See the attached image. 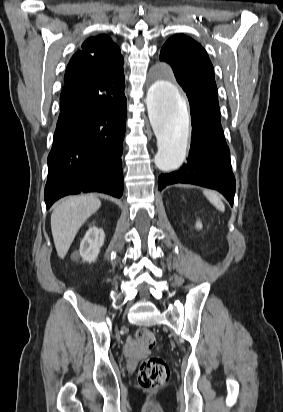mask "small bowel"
I'll list each match as a JSON object with an SVG mask.
<instances>
[{"mask_svg":"<svg viewBox=\"0 0 283 412\" xmlns=\"http://www.w3.org/2000/svg\"><path fill=\"white\" fill-rule=\"evenodd\" d=\"M122 353L131 361H137L143 358L146 355L147 351L133 338L130 337L127 339L125 345L123 346Z\"/></svg>","mask_w":283,"mask_h":412,"instance_id":"1","label":"small bowel"}]
</instances>
